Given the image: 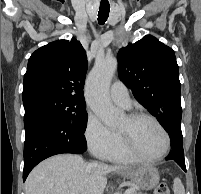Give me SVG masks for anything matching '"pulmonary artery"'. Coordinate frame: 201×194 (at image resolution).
<instances>
[{"label":"pulmonary artery","instance_id":"e3ab8cb5","mask_svg":"<svg viewBox=\"0 0 201 194\" xmlns=\"http://www.w3.org/2000/svg\"><path fill=\"white\" fill-rule=\"evenodd\" d=\"M110 97L112 101L120 107L129 109L131 107V99L128 89L123 82L117 80L110 87Z\"/></svg>","mask_w":201,"mask_h":194}]
</instances>
